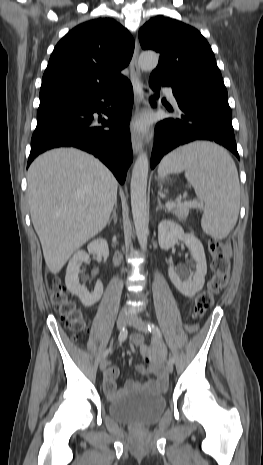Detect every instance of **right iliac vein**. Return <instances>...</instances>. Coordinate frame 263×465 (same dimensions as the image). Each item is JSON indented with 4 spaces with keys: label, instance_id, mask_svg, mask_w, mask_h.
<instances>
[{
    "label": "right iliac vein",
    "instance_id": "obj_1",
    "mask_svg": "<svg viewBox=\"0 0 263 465\" xmlns=\"http://www.w3.org/2000/svg\"><path fill=\"white\" fill-rule=\"evenodd\" d=\"M126 323H127V315L125 312H121L117 318V329L122 330L126 326ZM106 365H107V361L105 358H103L100 362V370L104 371L106 368Z\"/></svg>",
    "mask_w": 263,
    "mask_h": 465
}]
</instances>
